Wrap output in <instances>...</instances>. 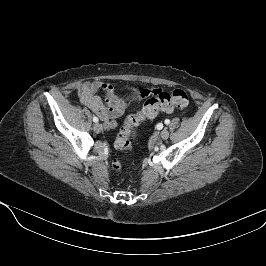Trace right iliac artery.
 <instances>
[{
    "mask_svg": "<svg viewBox=\"0 0 266 266\" xmlns=\"http://www.w3.org/2000/svg\"><path fill=\"white\" fill-rule=\"evenodd\" d=\"M93 121H94L95 123H97V122H98V118H97V117H93Z\"/></svg>",
    "mask_w": 266,
    "mask_h": 266,
    "instance_id": "obj_1",
    "label": "right iliac artery"
}]
</instances>
